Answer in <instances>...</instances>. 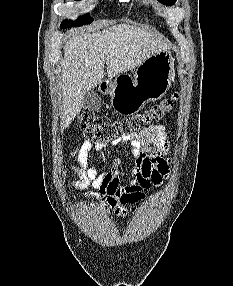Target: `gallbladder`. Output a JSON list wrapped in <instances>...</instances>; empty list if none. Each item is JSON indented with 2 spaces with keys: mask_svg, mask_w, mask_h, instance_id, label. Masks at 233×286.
Masks as SVG:
<instances>
[{
  "mask_svg": "<svg viewBox=\"0 0 233 286\" xmlns=\"http://www.w3.org/2000/svg\"><path fill=\"white\" fill-rule=\"evenodd\" d=\"M83 106L89 110H98L101 107V99L94 90L84 93Z\"/></svg>",
  "mask_w": 233,
  "mask_h": 286,
  "instance_id": "bac80fb5",
  "label": "gallbladder"
}]
</instances>
